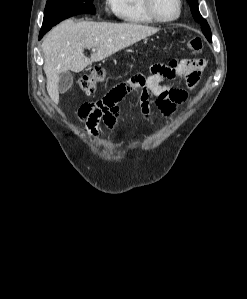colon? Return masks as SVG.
<instances>
[{
	"instance_id": "colon-1",
	"label": "colon",
	"mask_w": 247,
	"mask_h": 299,
	"mask_svg": "<svg viewBox=\"0 0 247 299\" xmlns=\"http://www.w3.org/2000/svg\"><path fill=\"white\" fill-rule=\"evenodd\" d=\"M188 48L192 53H199L203 48V42L200 37L191 38L188 43ZM106 77V71L104 68L99 67L95 69L90 74L83 75L79 81L78 85L82 91L87 94L93 93L96 85L103 81Z\"/></svg>"
}]
</instances>
